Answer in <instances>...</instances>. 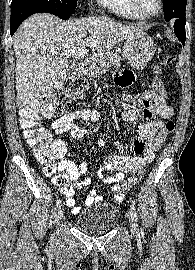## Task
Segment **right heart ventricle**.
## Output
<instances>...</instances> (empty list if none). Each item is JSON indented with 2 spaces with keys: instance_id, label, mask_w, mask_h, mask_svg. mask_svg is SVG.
Returning a JSON list of instances; mask_svg holds the SVG:
<instances>
[{
  "instance_id": "e07e8e85",
  "label": "right heart ventricle",
  "mask_w": 195,
  "mask_h": 270,
  "mask_svg": "<svg viewBox=\"0 0 195 270\" xmlns=\"http://www.w3.org/2000/svg\"><path fill=\"white\" fill-rule=\"evenodd\" d=\"M99 2L103 7L120 17L133 20L146 19L134 8L131 0H99Z\"/></svg>"
}]
</instances>
